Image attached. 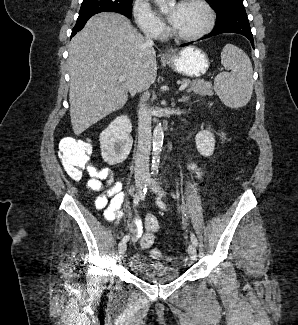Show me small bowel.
<instances>
[{
  "instance_id": "1",
  "label": "small bowel",
  "mask_w": 298,
  "mask_h": 325,
  "mask_svg": "<svg viewBox=\"0 0 298 325\" xmlns=\"http://www.w3.org/2000/svg\"><path fill=\"white\" fill-rule=\"evenodd\" d=\"M220 138L225 141L226 135L220 132ZM191 169L200 174L195 165H191ZM86 187L90 192H101L95 197L94 205L108 222H118L123 217V204L125 201V193L123 184L116 180L113 171L108 167H94L89 171V179ZM130 231L134 234L136 240L142 236L141 220L135 218L129 225Z\"/></svg>"
}]
</instances>
